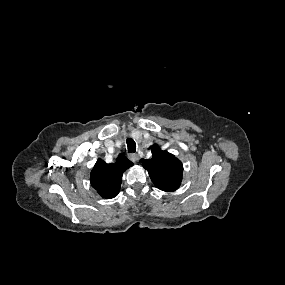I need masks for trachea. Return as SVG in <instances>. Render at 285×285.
<instances>
[{"instance_id": "trachea-1", "label": "trachea", "mask_w": 285, "mask_h": 285, "mask_svg": "<svg viewBox=\"0 0 285 285\" xmlns=\"http://www.w3.org/2000/svg\"><path fill=\"white\" fill-rule=\"evenodd\" d=\"M127 150L128 153L136 152V143L132 138L127 139Z\"/></svg>"}]
</instances>
